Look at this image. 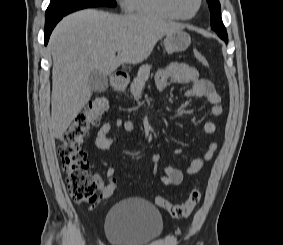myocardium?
<instances>
[{
    "mask_svg": "<svg viewBox=\"0 0 283 245\" xmlns=\"http://www.w3.org/2000/svg\"><path fill=\"white\" fill-rule=\"evenodd\" d=\"M203 0H196V7L189 14H183L180 11L178 0H166V4L170 12L181 20H190L194 18L202 7Z\"/></svg>",
    "mask_w": 283,
    "mask_h": 245,
    "instance_id": "1",
    "label": "myocardium"
}]
</instances>
